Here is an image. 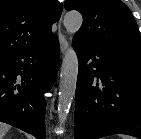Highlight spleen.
<instances>
[{"label":"spleen","mask_w":141,"mask_h":139,"mask_svg":"<svg viewBox=\"0 0 141 139\" xmlns=\"http://www.w3.org/2000/svg\"><path fill=\"white\" fill-rule=\"evenodd\" d=\"M121 139H133V138L129 136H121Z\"/></svg>","instance_id":"spleen-1"}]
</instances>
